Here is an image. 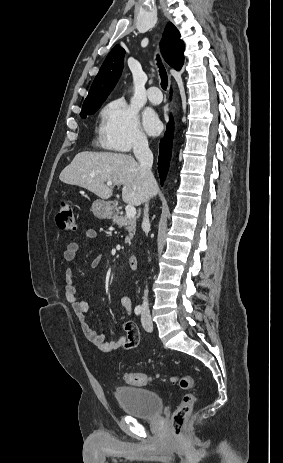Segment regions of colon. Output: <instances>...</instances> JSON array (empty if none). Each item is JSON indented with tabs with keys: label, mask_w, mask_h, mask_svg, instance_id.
Here are the masks:
<instances>
[{
	"label": "colon",
	"mask_w": 283,
	"mask_h": 463,
	"mask_svg": "<svg viewBox=\"0 0 283 463\" xmlns=\"http://www.w3.org/2000/svg\"><path fill=\"white\" fill-rule=\"evenodd\" d=\"M56 221L61 230L68 232L76 230V218L70 202L62 201L60 203ZM123 379L130 385L143 386L152 382L154 379H164V377L147 373L125 372L123 374ZM168 379L176 383L179 388L184 391L190 390L194 384L192 376L188 374L173 375ZM195 401V395L192 393L187 392L182 396L180 404L171 417V428L174 437H180L182 435L183 426L194 407Z\"/></svg>",
	"instance_id": "colon-1"
}]
</instances>
